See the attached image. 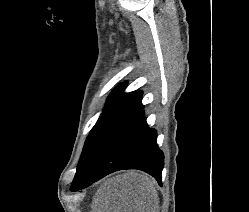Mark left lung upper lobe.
Segmentation results:
<instances>
[{
    "label": "left lung upper lobe",
    "mask_w": 249,
    "mask_h": 212,
    "mask_svg": "<svg viewBox=\"0 0 249 212\" xmlns=\"http://www.w3.org/2000/svg\"><path fill=\"white\" fill-rule=\"evenodd\" d=\"M125 87V83L116 87L107 99L103 113L100 115L85 141L74 179L80 176L108 130L142 97L141 91L123 94Z\"/></svg>",
    "instance_id": "1"
}]
</instances>
